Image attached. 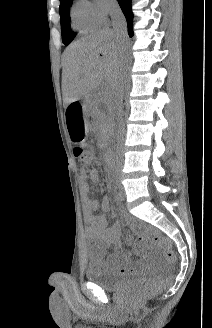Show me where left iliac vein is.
<instances>
[{
  "label": "left iliac vein",
  "mask_w": 212,
  "mask_h": 328,
  "mask_svg": "<svg viewBox=\"0 0 212 328\" xmlns=\"http://www.w3.org/2000/svg\"><path fill=\"white\" fill-rule=\"evenodd\" d=\"M121 192H122V194H123V188H121Z\"/></svg>",
  "instance_id": "left-iliac-vein-1"
}]
</instances>
